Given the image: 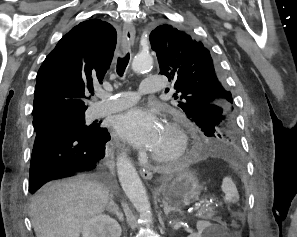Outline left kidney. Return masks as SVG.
<instances>
[{"label": "left kidney", "instance_id": "5707ae66", "mask_svg": "<svg viewBox=\"0 0 297 237\" xmlns=\"http://www.w3.org/2000/svg\"><path fill=\"white\" fill-rule=\"evenodd\" d=\"M196 227L198 232L188 237H215V226L209 221H198Z\"/></svg>", "mask_w": 297, "mask_h": 237}]
</instances>
